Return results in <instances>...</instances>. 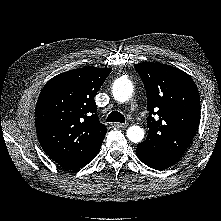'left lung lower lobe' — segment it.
<instances>
[{"label":"left lung lower lobe","instance_id":"1","mask_svg":"<svg viewBox=\"0 0 221 221\" xmlns=\"http://www.w3.org/2000/svg\"><path fill=\"white\" fill-rule=\"evenodd\" d=\"M136 155L145 165L157 170H163L176 164V162L166 160L149 153L139 145L136 149Z\"/></svg>","mask_w":221,"mask_h":221}]
</instances>
